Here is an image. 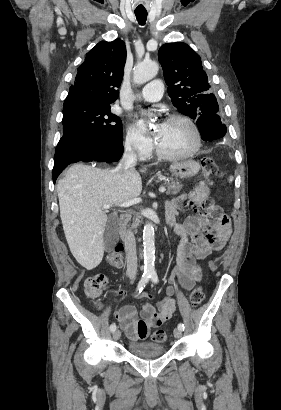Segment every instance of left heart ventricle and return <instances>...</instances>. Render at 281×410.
Masks as SVG:
<instances>
[{
  "mask_svg": "<svg viewBox=\"0 0 281 410\" xmlns=\"http://www.w3.org/2000/svg\"><path fill=\"white\" fill-rule=\"evenodd\" d=\"M157 143L166 152L180 154L190 151L195 144L192 128L182 121H166L157 127Z\"/></svg>",
  "mask_w": 281,
  "mask_h": 410,
  "instance_id": "b2bd125f",
  "label": "left heart ventricle"
}]
</instances>
